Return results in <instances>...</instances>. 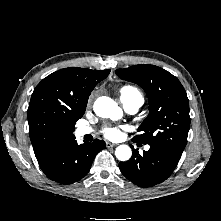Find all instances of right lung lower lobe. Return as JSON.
<instances>
[{
    "label": "right lung lower lobe",
    "instance_id": "98d812e1",
    "mask_svg": "<svg viewBox=\"0 0 221 221\" xmlns=\"http://www.w3.org/2000/svg\"><path fill=\"white\" fill-rule=\"evenodd\" d=\"M106 148L102 140L77 144L75 138L59 145L51 154L38 161L45 175L58 183L71 184L90 170L96 154Z\"/></svg>",
    "mask_w": 221,
    "mask_h": 221
}]
</instances>
